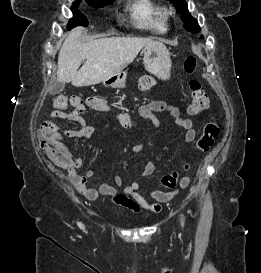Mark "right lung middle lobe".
<instances>
[{
  "instance_id": "right-lung-middle-lobe-1",
  "label": "right lung middle lobe",
  "mask_w": 261,
  "mask_h": 273,
  "mask_svg": "<svg viewBox=\"0 0 261 273\" xmlns=\"http://www.w3.org/2000/svg\"><path fill=\"white\" fill-rule=\"evenodd\" d=\"M91 6L95 8L103 7L106 4H112L113 1H106V0H86ZM80 0H77L73 3V6H78ZM72 12L74 14V17L69 21L67 28L71 29L77 25H87V19L86 17L80 13L77 9H72Z\"/></svg>"
}]
</instances>
